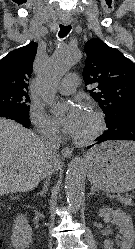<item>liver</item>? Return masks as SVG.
<instances>
[{
  "label": "liver",
  "mask_w": 135,
  "mask_h": 249,
  "mask_svg": "<svg viewBox=\"0 0 135 249\" xmlns=\"http://www.w3.org/2000/svg\"><path fill=\"white\" fill-rule=\"evenodd\" d=\"M51 162L59 168V156H52L39 136L0 118V196L34 189Z\"/></svg>",
  "instance_id": "liver-1"
}]
</instances>
